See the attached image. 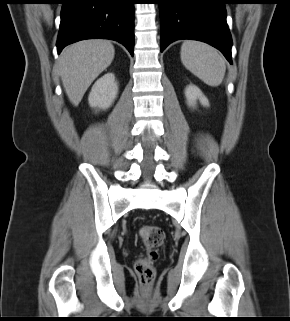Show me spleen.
I'll list each match as a JSON object with an SVG mask.
<instances>
[{"mask_svg":"<svg viewBox=\"0 0 290 321\" xmlns=\"http://www.w3.org/2000/svg\"><path fill=\"white\" fill-rule=\"evenodd\" d=\"M181 61L188 70L210 86H218L224 78L226 65L223 56L205 43L185 41L181 46Z\"/></svg>","mask_w":290,"mask_h":321,"instance_id":"obj_1","label":"spleen"}]
</instances>
